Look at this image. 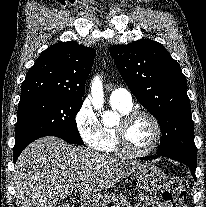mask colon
<instances>
[{"label": "colon", "mask_w": 206, "mask_h": 207, "mask_svg": "<svg viewBox=\"0 0 206 207\" xmlns=\"http://www.w3.org/2000/svg\"><path fill=\"white\" fill-rule=\"evenodd\" d=\"M186 190L180 177H172L163 191V200L168 207H185ZM62 207H76L75 202Z\"/></svg>", "instance_id": "colon-1"}]
</instances>
